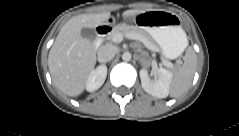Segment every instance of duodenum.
<instances>
[{
	"instance_id": "obj_1",
	"label": "duodenum",
	"mask_w": 239,
	"mask_h": 136,
	"mask_svg": "<svg viewBox=\"0 0 239 136\" xmlns=\"http://www.w3.org/2000/svg\"><path fill=\"white\" fill-rule=\"evenodd\" d=\"M113 22H114V20L111 19L106 25L99 26L97 28V30H96L97 37H96L95 41L93 42L94 48H98L101 45L104 37H106L110 32H112L113 25H114Z\"/></svg>"
}]
</instances>
